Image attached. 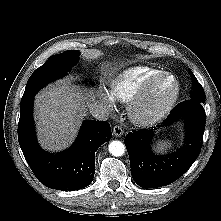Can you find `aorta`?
Returning a JSON list of instances; mask_svg holds the SVG:
<instances>
[{
  "label": "aorta",
  "instance_id": "1",
  "mask_svg": "<svg viewBox=\"0 0 221 221\" xmlns=\"http://www.w3.org/2000/svg\"><path fill=\"white\" fill-rule=\"evenodd\" d=\"M109 152L115 156H122L125 152V145L121 141L114 140L108 146Z\"/></svg>",
  "mask_w": 221,
  "mask_h": 221
}]
</instances>
